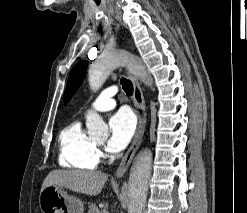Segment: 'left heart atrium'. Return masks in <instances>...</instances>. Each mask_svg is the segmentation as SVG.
Here are the masks:
<instances>
[{"label":"left heart atrium","instance_id":"39dd6f15","mask_svg":"<svg viewBox=\"0 0 247 213\" xmlns=\"http://www.w3.org/2000/svg\"><path fill=\"white\" fill-rule=\"evenodd\" d=\"M110 138L107 142V149L116 153L123 150L131 141L136 121L133 114L127 110L116 112L109 120Z\"/></svg>","mask_w":247,"mask_h":213}]
</instances>
